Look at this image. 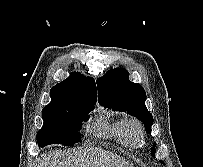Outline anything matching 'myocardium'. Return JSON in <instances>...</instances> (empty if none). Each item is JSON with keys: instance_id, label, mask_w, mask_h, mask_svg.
<instances>
[{"instance_id": "myocardium-1", "label": "myocardium", "mask_w": 203, "mask_h": 167, "mask_svg": "<svg viewBox=\"0 0 203 167\" xmlns=\"http://www.w3.org/2000/svg\"><path fill=\"white\" fill-rule=\"evenodd\" d=\"M125 132L131 144L138 145L142 142L144 129L142 123L136 118H129L124 122Z\"/></svg>"}]
</instances>
